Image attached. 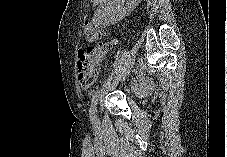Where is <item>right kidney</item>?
Segmentation results:
<instances>
[{
  "mask_svg": "<svg viewBox=\"0 0 227 157\" xmlns=\"http://www.w3.org/2000/svg\"><path fill=\"white\" fill-rule=\"evenodd\" d=\"M115 2L120 3L124 1H109L108 3L103 4L97 9L95 17L98 24H115L127 15L128 9L126 7L115 4Z\"/></svg>",
  "mask_w": 227,
  "mask_h": 157,
  "instance_id": "right-kidney-1",
  "label": "right kidney"
}]
</instances>
